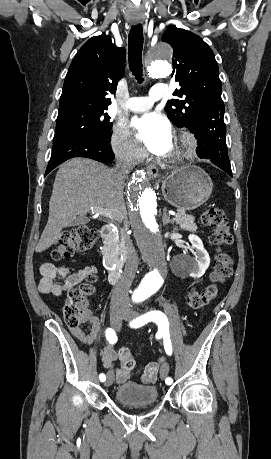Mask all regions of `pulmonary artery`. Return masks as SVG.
Returning a JSON list of instances; mask_svg holds the SVG:
<instances>
[{
    "label": "pulmonary artery",
    "instance_id": "1",
    "mask_svg": "<svg viewBox=\"0 0 271 459\" xmlns=\"http://www.w3.org/2000/svg\"><path fill=\"white\" fill-rule=\"evenodd\" d=\"M154 89H150L149 97H133L130 98L126 104L125 108L131 112H145L151 107L155 106L157 98H162L164 96L163 89L166 87V84L163 81H157L154 84Z\"/></svg>",
    "mask_w": 271,
    "mask_h": 459
}]
</instances>
